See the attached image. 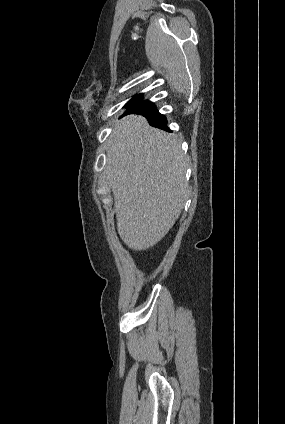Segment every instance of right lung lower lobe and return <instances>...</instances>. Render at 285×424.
Masks as SVG:
<instances>
[{
    "label": "right lung lower lobe",
    "instance_id": "1",
    "mask_svg": "<svg viewBox=\"0 0 285 424\" xmlns=\"http://www.w3.org/2000/svg\"><path fill=\"white\" fill-rule=\"evenodd\" d=\"M127 114H140L147 118L149 124L153 127H157L166 131H170L167 127L166 117L160 114L155 107L154 103L149 100H138L128 106L126 112L122 115Z\"/></svg>",
    "mask_w": 285,
    "mask_h": 424
}]
</instances>
